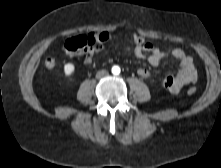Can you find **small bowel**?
I'll return each mask as SVG.
<instances>
[{
  "instance_id": "small-bowel-1",
  "label": "small bowel",
  "mask_w": 221,
  "mask_h": 168,
  "mask_svg": "<svg viewBox=\"0 0 221 168\" xmlns=\"http://www.w3.org/2000/svg\"><path fill=\"white\" fill-rule=\"evenodd\" d=\"M96 48L95 51H98ZM125 50L132 51L137 58H146L150 65L158 67L162 60L172 58L179 63V70L175 75L168 76L163 81V87L171 93H178L184 86L196 82L198 78L197 69L192 57L188 56L182 49L172 48L162 51L160 48L148 42L145 47L126 46ZM94 51L89 52L85 57V63L92 62V55ZM139 77L149 79L150 72L146 68H139L137 70Z\"/></svg>"
}]
</instances>
